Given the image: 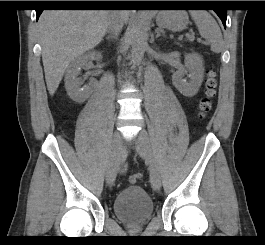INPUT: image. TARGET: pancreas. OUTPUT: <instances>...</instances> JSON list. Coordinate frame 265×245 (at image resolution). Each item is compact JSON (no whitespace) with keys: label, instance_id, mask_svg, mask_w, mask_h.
<instances>
[{"label":"pancreas","instance_id":"obj_1","mask_svg":"<svg viewBox=\"0 0 265 245\" xmlns=\"http://www.w3.org/2000/svg\"><path fill=\"white\" fill-rule=\"evenodd\" d=\"M189 40L190 41H193L194 40V36L193 37H189Z\"/></svg>","mask_w":265,"mask_h":245}]
</instances>
